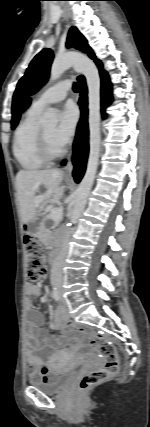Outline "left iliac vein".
Here are the masks:
<instances>
[{"instance_id": "obj_1", "label": "left iliac vein", "mask_w": 150, "mask_h": 427, "mask_svg": "<svg viewBox=\"0 0 150 427\" xmlns=\"http://www.w3.org/2000/svg\"><path fill=\"white\" fill-rule=\"evenodd\" d=\"M59 295H60L61 303L65 306L67 303H66L65 298L62 296V292L61 291L59 292Z\"/></svg>"}]
</instances>
